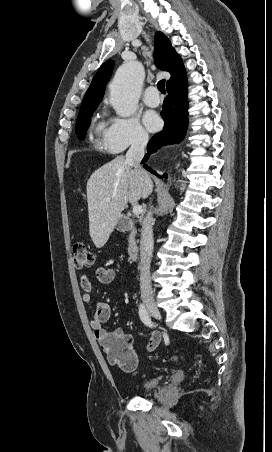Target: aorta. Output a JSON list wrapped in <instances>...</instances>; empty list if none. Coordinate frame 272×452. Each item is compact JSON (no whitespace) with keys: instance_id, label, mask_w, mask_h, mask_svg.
Returning a JSON list of instances; mask_svg holds the SVG:
<instances>
[{"instance_id":"aorta-1","label":"aorta","mask_w":272,"mask_h":452,"mask_svg":"<svg viewBox=\"0 0 272 452\" xmlns=\"http://www.w3.org/2000/svg\"><path fill=\"white\" fill-rule=\"evenodd\" d=\"M144 70L139 62L120 66L110 84V103L120 117H130L137 109Z\"/></svg>"}]
</instances>
